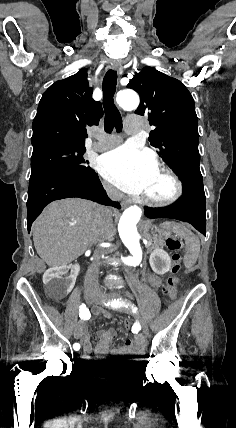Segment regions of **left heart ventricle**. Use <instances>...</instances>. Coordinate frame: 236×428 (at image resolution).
<instances>
[{
    "label": "left heart ventricle",
    "instance_id": "1",
    "mask_svg": "<svg viewBox=\"0 0 236 428\" xmlns=\"http://www.w3.org/2000/svg\"><path fill=\"white\" fill-rule=\"evenodd\" d=\"M173 192V184L162 170H155L148 182L143 195L164 199Z\"/></svg>",
    "mask_w": 236,
    "mask_h": 428
}]
</instances>
